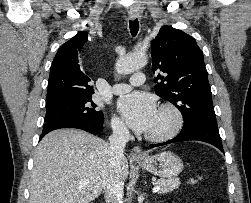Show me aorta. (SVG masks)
Here are the masks:
<instances>
[{
	"instance_id": "aorta-1",
	"label": "aorta",
	"mask_w": 251,
	"mask_h": 203,
	"mask_svg": "<svg viewBox=\"0 0 251 203\" xmlns=\"http://www.w3.org/2000/svg\"><path fill=\"white\" fill-rule=\"evenodd\" d=\"M146 63V53L137 52L135 54L120 58L115 65V70L119 74H129L144 67Z\"/></svg>"
}]
</instances>
